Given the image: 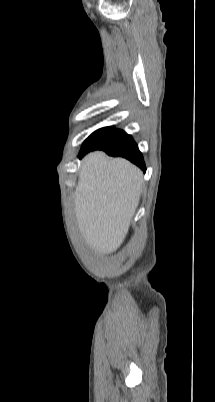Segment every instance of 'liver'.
Instances as JSON below:
<instances>
[{
  "instance_id": "1",
  "label": "liver",
  "mask_w": 215,
  "mask_h": 402,
  "mask_svg": "<svg viewBox=\"0 0 215 402\" xmlns=\"http://www.w3.org/2000/svg\"><path fill=\"white\" fill-rule=\"evenodd\" d=\"M142 171L124 158L102 151L81 164L75 189V216L80 233L97 253L115 252L123 243L139 205Z\"/></svg>"
}]
</instances>
